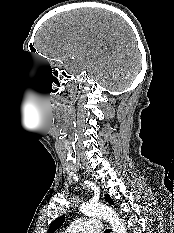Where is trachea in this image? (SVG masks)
<instances>
[{"label":"trachea","instance_id":"obj_1","mask_svg":"<svg viewBox=\"0 0 174 233\" xmlns=\"http://www.w3.org/2000/svg\"><path fill=\"white\" fill-rule=\"evenodd\" d=\"M104 233H111V230H110V229H106V230L104 231Z\"/></svg>","mask_w":174,"mask_h":233}]
</instances>
